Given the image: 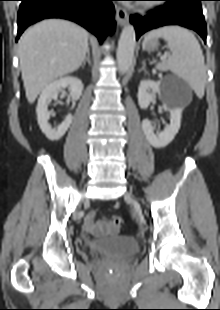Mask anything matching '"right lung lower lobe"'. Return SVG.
<instances>
[{
    "instance_id": "obj_1",
    "label": "right lung lower lobe",
    "mask_w": 220,
    "mask_h": 310,
    "mask_svg": "<svg viewBox=\"0 0 220 310\" xmlns=\"http://www.w3.org/2000/svg\"><path fill=\"white\" fill-rule=\"evenodd\" d=\"M113 0H21L17 24L19 39L23 31L46 18H64L74 21L102 42L115 27Z\"/></svg>"
}]
</instances>
